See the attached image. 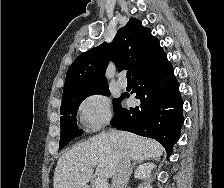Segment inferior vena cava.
Returning a JSON list of instances; mask_svg holds the SVG:
<instances>
[{"label":"inferior vena cava","mask_w":224,"mask_h":188,"mask_svg":"<svg viewBox=\"0 0 224 188\" xmlns=\"http://www.w3.org/2000/svg\"><path fill=\"white\" fill-rule=\"evenodd\" d=\"M130 173L131 159L126 153H123L119 158L111 188H126Z\"/></svg>","instance_id":"inferior-vena-cava-1"}]
</instances>
